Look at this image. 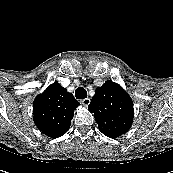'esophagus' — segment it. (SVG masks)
I'll return each instance as SVG.
<instances>
[{"instance_id":"1","label":"esophagus","mask_w":173,"mask_h":173,"mask_svg":"<svg viewBox=\"0 0 173 173\" xmlns=\"http://www.w3.org/2000/svg\"><path fill=\"white\" fill-rule=\"evenodd\" d=\"M81 103H82L84 106H88V105L90 104V98L82 99V100H81Z\"/></svg>"}]
</instances>
